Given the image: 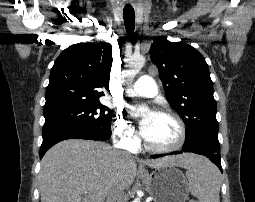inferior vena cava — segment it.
Instances as JSON below:
<instances>
[{
	"mask_svg": "<svg viewBox=\"0 0 255 202\" xmlns=\"http://www.w3.org/2000/svg\"><path fill=\"white\" fill-rule=\"evenodd\" d=\"M106 202H125V194L123 189L111 190L107 195Z\"/></svg>",
	"mask_w": 255,
	"mask_h": 202,
	"instance_id": "inferior-vena-cava-1",
	"label": "inferior vena cava"
}]
</instances>
